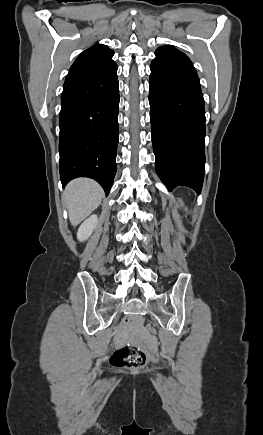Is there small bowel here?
<instances>
[{
    "mask_svg": "<svg viewBox=\"0 0 263 435\" xmlns=\"http://www.w3.org/2000/svg\"><path fill=\"white\" fill-rule=\"evenodd\" d=\"M136 325L143 326V320L141 318L136 319ZM144 338L147 340L145 343V348L148 350L149 359L151 361H158L160 359V354L155 349L157 344L154 341H150L153 338V335L150 332H147L144 335ZM127 340V336L124 332H121L118 336V343L123 344ZM135 343H140V338H135Z\"/></svg>",
    "mask_w": 263,
    "mask_h": 435,
    "instance_id": "c3829d8e",
    "label": "small bowel"
}]
</instances>
